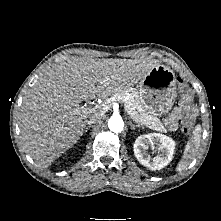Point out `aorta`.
<instances>
[{
    "instance_id": "762f6f07",
    "label": "aorta",
    "mask_w": 221,
    "mask_h": 221,
    "mask_svg": "<svg viewBox=\"0 0 221 221\" xmlns=\"http://www.w3.org/2000/svg\"><path fill=\"white\" fill-rule=\"evenodd\" d=\"M108 128L114 132L119 133L124 129V122L120 115H112L108 120Z\"/></svg>"
}]
</instances>
